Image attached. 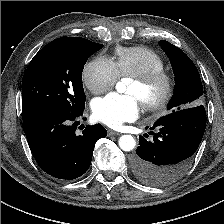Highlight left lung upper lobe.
<instances>
[{"mask_svg":"<svg viewBox=\"0 0 224 224\" xmlns=\"http://www.w3.org/2000/svg\"><path fill=\"white\" fill-rule=\"evenodd\" d=\"M159 45L170 58L175 75L174 96L168 109L172 112L202 104L203 87L199 72L191 59L178 47L161 40Z\"/></svg>","mask_w":224,"mask_h":224,"instance_id":"obj_1","label":"left lung upper lobe"}]
</instances>
